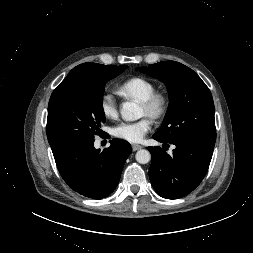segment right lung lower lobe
<instances>
[{
  "label": "right lung lower lobe",
  "instance_id": "right-lung-lower-lobe-1",
  "mask_svg": "<svg viewBox=\"0 0 253 253\" xmlns=\"http://www.w3.org/2000/svg\"><path fill=\"white\" fill-rule=\"evenodd\" d=\"M110 143L103 152L94 148V139L52 149L59 173L72 190L93 199L105 198L114 191L132 149L125 140Z\"/></svg>",
  "mask_w": 253,
  "mask_h": 253
}]
</instances>
